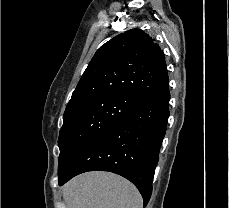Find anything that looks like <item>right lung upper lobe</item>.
Segmentation results:
<instances>
[{"label":"right lung upper lobe","instance_id":"cb5924a9","mask_svg":"<svg viewBox=\"0 0 229 208\" xmlns=\"http://www.w3.org/2000/svg\"><path fill=\"white\" fill-rule=\"evenodd\" d=\"M148 34L131 29L102 45L83 73L66 111L84 101L123 95L140 101L169 87L164 53Z\"/></svg>","mask_w":229,"mask_h":208}]
</instances>
